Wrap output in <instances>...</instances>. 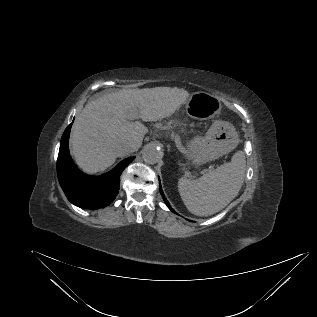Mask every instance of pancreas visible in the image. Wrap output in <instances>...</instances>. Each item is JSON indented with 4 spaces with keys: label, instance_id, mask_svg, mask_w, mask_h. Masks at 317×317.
Returning <instances> with one entry per match:
<instances>
[{
    "label": "pancreas",
    "instance_id": "obj_1",
    "mask_svg": "<svg viewBox=\"0 0 317 317\" xmlns=\"http://www.w3.org/2000/svg\"><path fill=\"white\" fill-rule=\"evenodd\" d=\"M175 140L177 143H180V138L178 136H176Z\"/></svg>",
    "mask_w": 317,
    "mask_h": 317
}]
</instances>
